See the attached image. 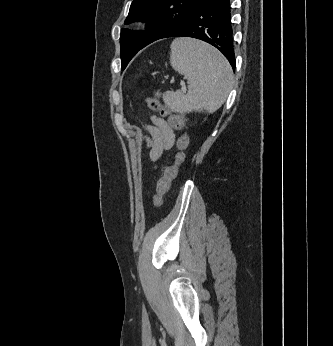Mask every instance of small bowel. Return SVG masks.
I'll list each match as a JSON object with an SVG mask.
<instances>
[{
  "label": "small bowel",
  "mask_w": 333,
  "mask_h": 346,
  "mask_svg": "<svg viewBox=\"0 0 333 346\" xmlns=\"http://www.w3.org/2000/svg\"><path fill=\"white\" fill-rule=\"evenodd\" d=\"M151 125H146L148 135L145 138L149 158L157 161L162 154L170 149L175 142V133L172 126L163 118L151 116Z\"/></svg>",
  "instance_id": "1"
}]
</instances>
